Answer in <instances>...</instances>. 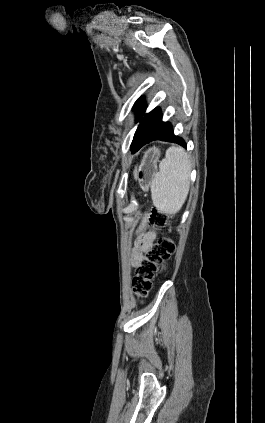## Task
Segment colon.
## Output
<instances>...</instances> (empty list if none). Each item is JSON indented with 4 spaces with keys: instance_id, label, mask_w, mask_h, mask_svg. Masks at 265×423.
<instances>
[{
    "instance_id": "5ec220e1",
    "label": "colon",
    "mask_w": 265,
    "mask_h": 423,
    "mask_svg": "<svg viewBox=\"0 0 265 423\" xmlns=\"http://www.w3.org/2000/svg\"><path fill=\"white\" fill-rule=\"evenodd\" d=\"M145 222L156 227H163L167 223V216L153 209L146 214ZM175 250V243L168 237L160 238L145 250L135 268V275L132 280V289L136 296L144 298L149 294L159 266L170 259Z\"/></svg>"
}]
</instances>
